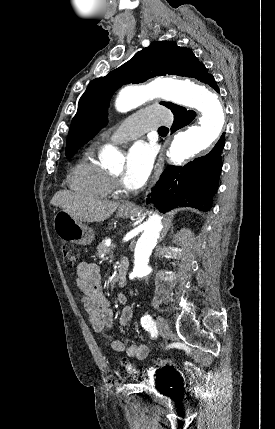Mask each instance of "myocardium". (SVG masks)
<instances>
[{
	"label": "myocardium",
	"instance_id": "myocardium-1",
	"mask_svg": "<svg viewBox=\"0 0 275 429\" xmlns=\"http://www.w3.org/2000/svg\"><path fill=\"white\" fill-rule=\"evenodd\" d=\"M112 179L114 180L115 183H118V178L116 176L112 175Z\"/></svg>",
	"mask_w": 275,
	"mask_h": 429
}]
</instances>
